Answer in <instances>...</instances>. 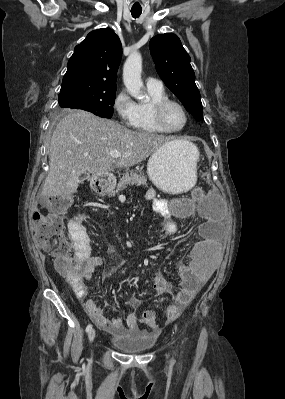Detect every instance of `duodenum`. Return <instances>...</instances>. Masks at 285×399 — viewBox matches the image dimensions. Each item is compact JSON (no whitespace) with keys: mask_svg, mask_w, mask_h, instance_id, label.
I'll return each instance as SVG.
<instances>
[{"mask_svg":"<svg viewBox=\"0 0 285 399\" xmlns=\"http://www.w3.org/2000/svg\"><path fill=\"white\" fill-rule=\"evenodd\" d=\"M103 187H106V184H103Z\"/></svg>","mask_w":285,"mask_h":399,"instance_id":"duodenum-1","label":"duodenum"}]
</instances>
